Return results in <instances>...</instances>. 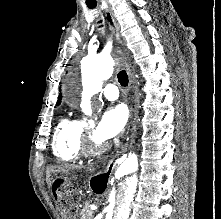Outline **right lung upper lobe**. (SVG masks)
<instances>
[{
	"label": "right lung upper lobe",
	"mask_w": 221,
	"mask_h": 219,
	"mask_svg": "<svg viewBox=\"0 0 221 219\" xmlns=\"http://www.w3.org/2000/svg\"><path fill=\"white\" fill-rule=\"evenodd\" d=\"M61 102V94L59 95V100L57 101V105H59Z\"/></svg>",
	"instance_id": "obj_1"
}]
</instances>
